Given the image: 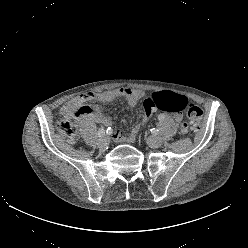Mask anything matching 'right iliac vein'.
<instances>
[{"mask_svg": "<svg viewBox=\"0 0 248 248\" xmlns=\"http://www.w3.org/2000/svg\"><path fill=\"white\" fill-rule=\"evenodd\" d=\"M109 137L107 135H103L99 140H98V146L100 148H106L109 144Z\"/></svg>", "mask_w": 248, "mask_h": 248, "instance_id": "right-iliac-vein-1", "label": "right iliac vein"}]
</instances>
